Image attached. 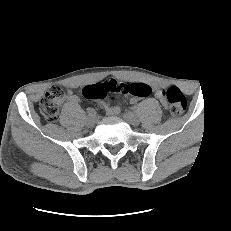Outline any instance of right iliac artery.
<instances>
[{"mask_svg": "<svg viewBox=\"0 0 231 231\" xmlns=\"http://www.w3.org/2000/svg\"><path fill=\"white\" fill-rule=\"evenodd\" d=\"M87 112H88L89 115H95L96 114V112H95V110L93 108H88Z\"/></svg>", "mask_w": 231, "mask_h": 231, "instance_id": "right-iliac-artery-1", "label": "right iliac artery"}]
</instances>
